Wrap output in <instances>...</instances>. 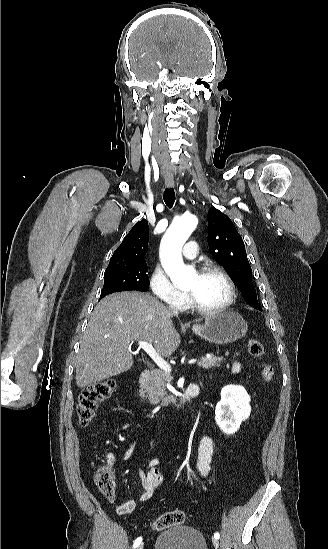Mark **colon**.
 Instances as JSON below:
<instances>
[{
  "label": "colon",
  "instance_id": "1",
  "mask_svg": "<svg viewBox=\"0 0 328 549\" xmlns=\"http://www.w3.org/2000/svg\"><path fill=\"white\" fill-rule=\"evenodd\" d=\"M247 349L250 355L257 358H264L265 350L262 343L257 339L247 341ZM274 368L265 362L262 366V378L265 382L272 381ZM116 388V382L112 379L100 381L85 388L78 400L77 416L79 424L88 426L93 420L98 405L112 396ZM95 484L99 492L106 498L111 499L114 495L113 476L110 469L102 467L95 474ZM186 521V514L182 510H172L160 515L152 524L156 531H161L173 526L183 524Z\"/></svg>",
  "mask_w": 328,
  "mask_h": 549
}]
</instances>
